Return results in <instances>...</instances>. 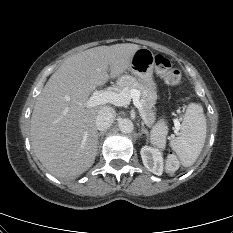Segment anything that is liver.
Masks as SVG:
<instances>
[{"instance_id":"1","label":"liver","mask_w":233,"mask_h":233,"mask_svg":"<svg viewBox=\"0 0 233 233\" xmlns=\"http://www.w3.org/2000/svg\"><path fill=\"white\" fill-rule=\"evenodd\" d=\"M140 48L124 43L85 50L66 58L47 81L34 106L30 134L35 155L51 174L71 179L93 165L96 117L110 106L85 103L96 87L128 70Z\"/></svg>"}]
</instances>
